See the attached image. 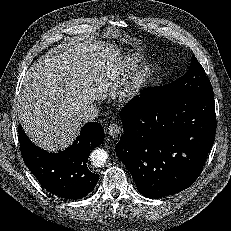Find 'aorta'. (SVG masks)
<instances>
[{"mask_svg": "<svg viewBox=\"0 0 231 231\" xmlns=\"http://www.w3.org/2000/svg\"><path fill=\"white\" fill-rule=\"evenodd\" d=\"M108 158V154L103 149H96L90 154V160L94 166H103Z\"/></svg>", "mask_w": 231, "mask_h": 231, "instance_id": "762f6f07", "label": "aorta"}]
</instances>
